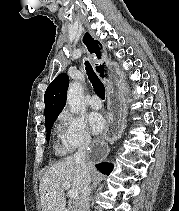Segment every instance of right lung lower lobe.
Masks as SVG:
<instances>
[{
  "instance_id": "obj_1",
  "label": "right lung lower lobe",
  "mask_w": 179,
  "mask_h": 211,
  "mask_svg": "<svg viewBox=\"0 0 179 211\" xmlns=\"http://www.w3.org/2000/svg\"><path fill=\"white\" fill-rule=\"evenodd\" d=\"M96 168L103 174L108 175L112 171L113 165L111 163H100L96 165Z\"/></svg>"
}]
</instances>
